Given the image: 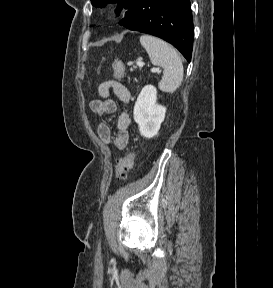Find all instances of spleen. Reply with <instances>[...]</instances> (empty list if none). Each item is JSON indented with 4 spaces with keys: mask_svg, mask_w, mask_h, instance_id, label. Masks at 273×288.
Listing matches in <instances>:
<instances>
[{
    "mask_svg": "<svg viewBox=\"0 0 273 288\" xmlns=\"http://www.w3.org/2000/svg\"><path fill=\"white\" fill-rule=\"evenodd\" d=\"M140 43L147 51L152 64L163 68L159 89L174 93L183 80V64L176 50L162 39L150 35H142Z\"/></svg>",
    "mask_w": 273,
    "mask_h": 288,
    "instance_id": "obj_1",
    "label": "spleen"
}]
</instances>
